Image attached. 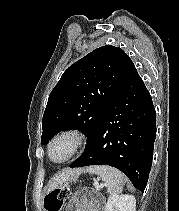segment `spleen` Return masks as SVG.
<instances>
[{"instance_id": "3e777b00", "label": "spleen", "mask_w": 179, "mask_h": 211, "mask_svg": "<svg viewBox=\"0 0 179 211\" xmlns=\"http://www.w3.org/2000/svg\"><path fill=\"white\" fill-rule=\"evenodd\" d=\"M89 174H95L102 179L105 186H107V192L113 196L118 195L123 190L124 176L116 168L110 166H90L86 169Z\"/></svg>"}]
</instances>
